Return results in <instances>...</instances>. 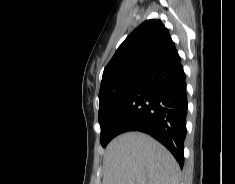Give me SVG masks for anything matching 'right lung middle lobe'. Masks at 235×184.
Listing matches in <instances>:
<instances>
[{
    "label": "right lung middle lobe",
    "mask_w": 235,
    "mask_h": 184,
    "mask_svg": "<svg viewBox=\"0 0 235 184\" xmlns=\"http://www.w3.org/2000/svg\"><path fill=\"white\" fill-rule=\"evenodd\" d=\"M143 78L126 81L122 85L106 91L99 99L100 141L103 147L116 136L112 127L132 92L141 84Z\"/></svg>",
    "instance_id": "obj_1"
}]
</instances>
